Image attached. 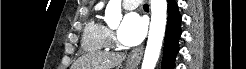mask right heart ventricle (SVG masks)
I'll return each mask as SVG.
<instances>
[{"label": "right heart ventricle", "instance_id": "e07e8e85", "mask_svg": "<svg viewBox=\"0 0 246 69\" xmlns=\"http://www.w3.org/2000/svg\"><path fill=\"white\" fill-rule=\"evenodd\" d=\"M112 36L109 28L98 18L92 19L85 27L82 46L85 51H102L110 47Z\"/></svg>", "mask_w": 246, "mask_h": 69}]
</instances>
